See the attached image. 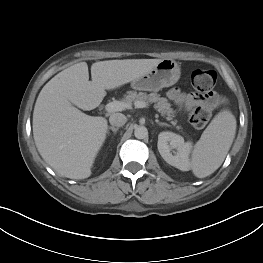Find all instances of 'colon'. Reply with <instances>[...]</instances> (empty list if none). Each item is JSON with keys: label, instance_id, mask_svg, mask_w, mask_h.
<instances>
[{"label": "colon", "instance_id": "1", "mask_svg": "<svg viewBox=\"0 0 263 263\" xmlns=\"http://www.w3.org/2000/svg\"><path fill=\"white\" fill-rule=\"evenodd\" d=\"M217 74L209 69H196L191 74V84L205 102L190 108L188 119L195 128H203L211 117V108L217 104V95L214 91Z\"/></svg>", "mask_w": 263, "mask_h": 263}]
</instances>
